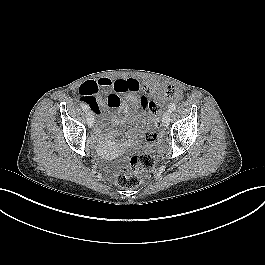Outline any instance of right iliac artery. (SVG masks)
Instances as JSON below:
<instances>
[{
	"mask_svg": "<svg viewBox=\"0 0 265 265\" xmlns=\"http://www.w3.org/2000/svg\"><path fill=\"white\" fill-rule=\"evenodd\" d=\"M80 106H81V108H82L85 112L88 111V106H87L85 103L81 102V103H80Z\"/></svg>",
	"mask_w": 265,
	"mask_h": 265,
	"instance_id": "right-iliac-artery-1",
	"label": "right iliac artery"
}]
</instances>
